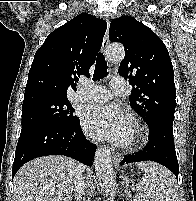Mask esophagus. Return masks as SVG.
Here are the masks:
<instances>
[{
	"label": "esophagus",
	"instance_id": "34e87169",
	"mask_svg": "<svg viewBox=\"0 0 196 201\" xmlns=\"http://www.w3.org/2000/svg\"><path fill=\"white\" fill-rule=\"evenodd\" d=\"M106 23H107V30H106V33H105V36H104V39H103V43H102V52L104 54H106L107 47H108V44H109V25H110L109 19H106ZM113 161L116 164L119 163L121 161V155L114 154L113 155Z\"/></svg>",
	"mask_w": 196,
	"mask_h": 201
}]
</instances>
